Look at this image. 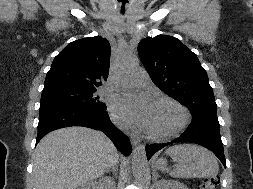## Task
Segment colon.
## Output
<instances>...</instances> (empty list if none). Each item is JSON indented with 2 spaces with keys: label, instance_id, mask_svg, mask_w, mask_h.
Instances as JSON below:
<instances>
[{
  "label": "colon",
  "instance_id": "5ec220e1",
  "mask_svg": "<svg viewBox=\"0 0 253 189\" xmlns=\"http://www.w3.org/2000/svg\"><path fill=\"white\" fill-rule=\"evenodd\" d=\"M218 184L217 177L206 178L202 181L198 189H215Z\"/></svg>",
  "mask_w": 253,
  "mask_h": 189
}]
</instances>
